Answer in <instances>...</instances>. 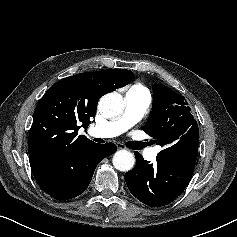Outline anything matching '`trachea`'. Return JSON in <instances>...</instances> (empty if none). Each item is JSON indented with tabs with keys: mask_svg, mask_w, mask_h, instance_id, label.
<instances>
[{
	"mask_svg": "<svg viewBox=\"0 0 237 237\" xmlns=\"http://www.w3.org/2000/svg\"><path fill=\"white\" fill-rule=\"evenodd\" d=\"M145 146H146L145 143H137V144H135L134 148L136 150H140V149H142Z\"/></svg>",
	"mask_w": 237,
	"mask_h": 237,
	"instance_id": "1",
	"label": "trachea"
}]
</instances>
